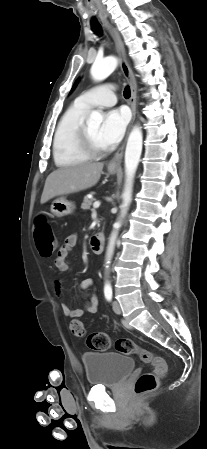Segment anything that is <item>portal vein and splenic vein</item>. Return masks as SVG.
Listing matches in <instances>:
<instances>
[{
    "mask_svg": "<svg viewBox=\"0 0 207 449\" xmlns=\"http://www.w3.org/2000/svg\"><path fill=\"white\" fill-rule=\"evenodd\" d=\"M99 206H100V202H99V201H95V202L93 203V208H94V209L98 208Z\"/></svg>",
    "mask_w": 207,
    "mask_h": 449,
    "instance_id": "portal-vein-and-splenic-vein-1",
    "label": "portal vein and splenic vein"
}]
</instances>
